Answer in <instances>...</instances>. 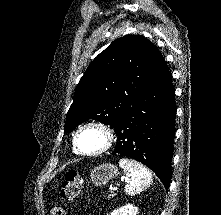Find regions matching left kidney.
<instances>
[{
  "label": "left kidney",
  "instance_id": "1",
  "mask_svg": "<svg viewBox=\"0 0 221 215\" xmlns=\"http://www.w3.org/2000/svg\"><path fill=\"white\" fill-rule=\"evenodd\" d=\"M138 208L132 204H127L117 210H114L110 215H137Z\"/></svg>",
  "mask_w": 221,
  "mask_h": 215
}]
</instances>
